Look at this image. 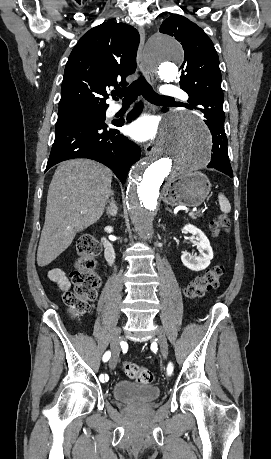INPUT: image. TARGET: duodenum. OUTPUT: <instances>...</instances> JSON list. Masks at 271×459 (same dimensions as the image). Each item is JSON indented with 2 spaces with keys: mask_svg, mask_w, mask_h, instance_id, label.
Masks as SVG:
<instances>
[{
  "mask_svg": "<svg viewBox=\"0 0 271 459\" xmlns=\"http://www.w3.org/2000/svg\"><path fill=\"white\" fill-rule=\"evenodd\" d=\"M102 243H103L104 249H105L106 261L108 262V264L113 265L115 263V260H116L115 248H114L113 244L111 243V241L106 237L102 238Z\"/></svg>",
  "mask_w": 271,
  "mask_h": 459,
  "instance_id": "duodenum-1",
  "label": "duodenum"
}]
</instances>
